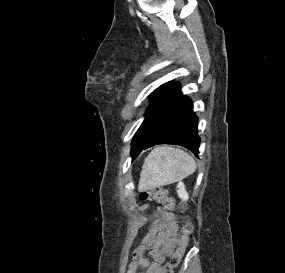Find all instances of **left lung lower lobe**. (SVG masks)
Wrapping results in <instances>:
<instances>
[{
	"instance_id": "0a47b994",
	"label": "left lung lower lobe",
	"mask_w": 285,
	"mask_h": 273,
	"mask_svg": "<svg viewBox=\"0 0 285 273\" xmlns=\"http://www.w3.org/2000/svg\"><path fill=\"white\" fill-rule=\"evenodd\" d=\"M198 117L193 112L192 101L175 84L145 114V120L136 132L131 148L132 158L144 149L158 144L183 146L198 157Z\"/></svg>"
}]
</instances>
